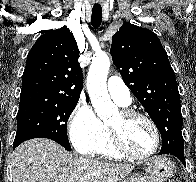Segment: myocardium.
<instances>
[{
  "label": "myocardium",
  "instance_id": "obj_1",
  "mask_svg": "<svg viewBox=\"0 0 196 182\" xmlns=\"http://www.w3.org/2000/svg\"><path fill=\"white\" fill-rule=\"evenodd\" d=\"M119 113L122 116V118L125 120L141 118L147 121L153 130L154 137H155V144L152 150L146 154L133 153L124 145L120 133L108 125L109 138L115 151L122 156L135 160H145L155 155L159 150L160 143H161L160 130L156 122L149 115L131 109H123Z\"/></svg>",
  "mask_w": 196,
  "mask_h": 182
}]
</instances>
